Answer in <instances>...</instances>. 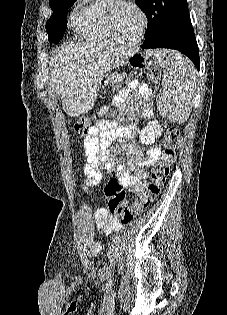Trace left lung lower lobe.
Segmentation results:
<instances>
[{"label": "left lung lower lobe", "mask_w": 227, "mask_h": 315, "mask_svg": "<svg viewBox=\"0 0 227 315\" xmlns=\"http://www.w3.org/2000/svg\"><path fill=\"white\" fill-rule=\"evenodd\" d=\"M142 48H170L189 57L200 69L199 49L190 18L169 24L155 36L144 40Z\"/></svg>", "instance_id": "0a47b994"}]
</instances>
